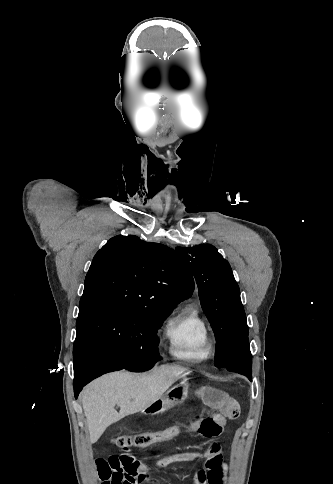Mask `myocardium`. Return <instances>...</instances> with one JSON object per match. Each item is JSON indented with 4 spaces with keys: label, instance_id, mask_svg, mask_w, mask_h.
<instances>
[{
    "label": "myocardium",
    "instance_id": "myocardium-1",
    "mask_svg": "<svg viewBox=\"0 0 333 484\" xmlns=\"http://www.w3.org/2000/svg\"><path fill=\"white\" fill-rule=\"evenodd\" d=\"M207 350L209 354H212L215 351V342L210 338L208 339V342H207Z\"/></svg>",
    "mask_w": 333,
    "mask_h": 484
}]
</instances>
